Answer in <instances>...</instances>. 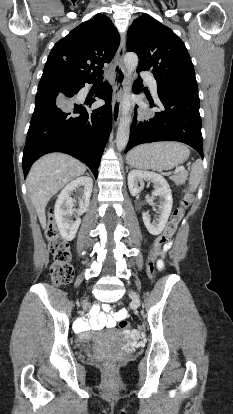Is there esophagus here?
Listing matches in <instances>:
<instances>
[{
  "mask_svg": "<svg viewBox=\"0 0 233 414\" xmlns=\"http://www.w3.org/2000/svg\"><path fill=\"white\" fill-rule=\"evenodd\" d=\"M126 50L125 34L121 35L120 46L117 52L116 63L113 68V96H112V117L115 125L118 124L121 115V99L125 90L126 75L123 65L124 53Z\"/></svg>",
  "mask_w": 233,
  "mask_h": 414,
  "instance_id": "obj_1",
  "label": "esophagus"
}]
</instances>
